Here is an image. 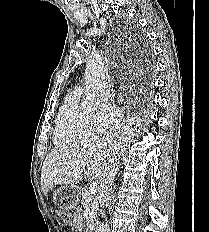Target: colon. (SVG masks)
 Listing matches in <instances>:
<instances>
[{"instance_id":"1","label":"colon","mask_w":209,"mask_h":232,"mask_svg":"<svg viewBox=\"0 0 209 232\" xmlns=\"http://www.w3.org/2000/svg\"><path fill=\"white\" fill-rule=\"evenodd\" d=\"M62 220L64 222H69L70 221V214L66 211L61 213Z\"/></svg>"}]
</instances>
